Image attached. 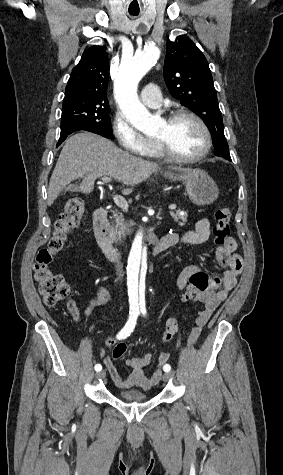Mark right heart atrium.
<instances>
[{
  "label": "right heart atrium",
  "mask_w": 283,
  "mask_h": 475,
  "mask_svg": "<svg viewBox=\"0 0 283 475\" xmlns=\"http://www.w3.org/2000/svg\"><path fill=\"white\" fill-rule=\"evenodd\" d=\"M111 130L118 142L117 151L124 155H143V158L150 154L153 142L139 133L122 113L114 115Z\"/></svg>",
  "instance_id": "obj_1"
}]
</instances>
